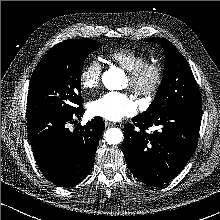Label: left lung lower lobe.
<instances>
[{
    "label": "left lung lower lobe",
    "instance_id": "left-lung-lower-lobe-1",
    "mask_svg": "<svg viewBox=\"0 0 220 220\" xmlns=\"http://www.w3.org/2000/svg\"><path fill=\"white\" fill-rule=\"evenodd\" d=\"M202 108H175L147 116L140 114L124 127L123 152L128 167L140 181L158 186L176 177L193 155ZM160 127L151 134L145 130Z\"/></svg>",
    "mask_w": 220,
    "mask_h": 220
}]
</instances>
